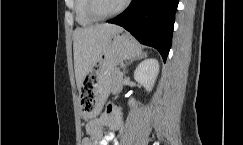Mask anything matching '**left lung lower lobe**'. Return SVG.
Masks as SVG:
<instances>
[{
  "label": "left lung lower lobe",
  "instance_id": "left-lung-lower-lobe-1",
  "mask_svg": "<svg viewBox=\"0 0 243 145\" xmlns=\"http://www.w3.org/2000/svg\"><path fill=\"white\" fill-rule=\"evenodd\" d=\"M177 6L178 0H132L129 7L109 23L122 26L140 43L156 48L166 61Z\"/></svg>",
  "mask_w": 243,
  "mask_h": 145
}]
</instances>
